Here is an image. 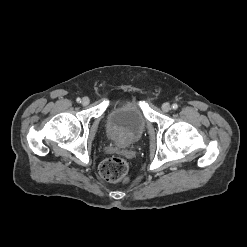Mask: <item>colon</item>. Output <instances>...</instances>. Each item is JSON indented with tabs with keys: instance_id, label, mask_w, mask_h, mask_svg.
I'll list each match as a JSON object with an SVG mask.
<instances>
[{
	"instance_id": "5ec220e1",
	"label": "colon",
	"mask_w": 247,
	"mask_h": 247,
	"mask_svg": "<svg viewBox=\"0 0 247 247\" xmlns=\"http://www.w3.org/2000/svg\"><path fill=\"white\" fill-rule=\"evenodd\" d=\"M100 176L109 182H126L128 180V163L119 157L105 159L99 165Z\"/></svg>"
}]
</instances>
